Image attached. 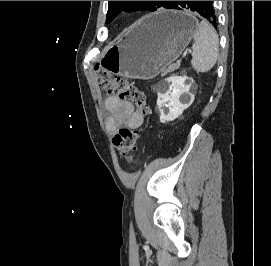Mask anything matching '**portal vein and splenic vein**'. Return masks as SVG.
Segmentation results:
<instances>
[{"label": "portal vein and splenic vein", "instance_id": "1", "mask_svg": "<svg viewBox=\"0 0 271 266\" xmlns=\"http://www.w3.org/2000/svg\"><path fill=\"white\" fill-rule=\"evenodd\" d=\"M191 52H192V50L190 49V50H189V53H191ZM177 63L180 64V61H177Z\"/></svg>", "mask_w": 271, "mask_h": 266}]
</instances>
